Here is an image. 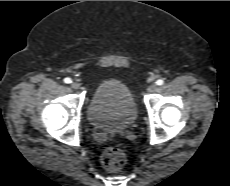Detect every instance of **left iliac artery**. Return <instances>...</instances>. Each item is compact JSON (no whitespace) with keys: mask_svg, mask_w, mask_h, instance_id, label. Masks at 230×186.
<instances>
[{"mask_svg":"<svg viewBox=\"0 0 230 186\" xmlns=\"http://www.w3.org/2000/svg\"><path fill=\"white\" fill-rule=\"evenodd\" d=\"M156 84L161 86V85L164 84V81L162 79H159V80L156 81Z\"/></svg>","mask_w":230,"mask_h":186,"instance_id":"1","label":"left iliac artery"}]
</instances>
